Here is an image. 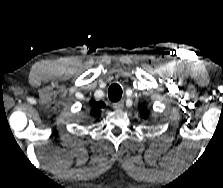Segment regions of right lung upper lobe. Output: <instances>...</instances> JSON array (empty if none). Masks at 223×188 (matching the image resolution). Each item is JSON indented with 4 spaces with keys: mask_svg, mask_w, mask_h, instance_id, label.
Wrapping results in <instances>:
<instances>
[{
    "mask_svg": "<svg viewBox=\"0 0 223 188\" xmlns=\"http://www.w3.org/2000/svg\"><path fill=\"white\" fill-rule=\"evenodd\" d=\"M91 108H92V114L94 116H97L100 113V109L105 107V104L103 102H96L94 100H91L89 102Z\"/></svg>",
    "mask_w": 223,
    "mask_h": 188,
    "instance_id": "obj_1",
    "label": "right lung upper lobe"
}]
</instances>
